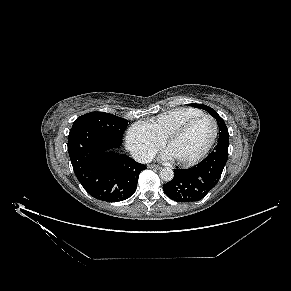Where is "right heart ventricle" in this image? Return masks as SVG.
Masks as SVG:
<instances>
[{"instance_id": "obj_1", "label": "right heart ventricle", "mask_w": 291, "mask_h": 291, "mask_svg": "<svg viewBox=\"0 0 291 291\" xmlns=\"http://www.w3.org/2000/svg\"><path fill=\"white\" fill-rule=\"evenodd\" d=\"M201 113V110L195 108H175L160 114L154 120L143 125L154 136L163 141L173 130L179 127L186 120Z\"/></svg>"}]
</instances>
